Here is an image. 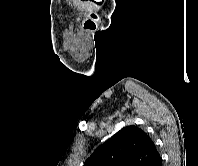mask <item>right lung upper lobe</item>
I'll return each instance as SVG.
<instances>
[{
	"label": "right lung upper lobe",
	"instance_id": "obj_1",
	"mask_svg": "<svg viewBox=\"0 0 198 166\" xmlns=\"http://www.w3.org/2000/svg\"><path fill=\"white\" fill-rule=\"evenodd\" d=\"M159 155L142 129L127 126L97 147L84 166H149Z\"/></svg>",
	"mask_w": 198,
	"mask_h": 166
}]
</instances>
